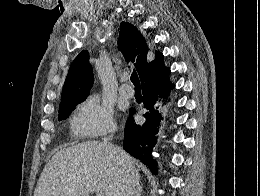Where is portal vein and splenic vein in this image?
I'll return each mask as SVG.
<instances>
[{"mask_svg":"<svg viewBox=\"0 0 260 196\" xmlns=\"http://www.w3.org/2000/svg\"><path fill=\"white\" fill-rule=\"evenodd\" d=\"M96 196H102V194H98V192H96Z\"/></svg>","mask_w":260,"mask_h":196,"instance_id":"1","label":"portal vein and splenic vein"}]
</instances>
